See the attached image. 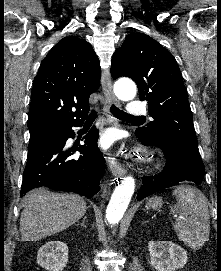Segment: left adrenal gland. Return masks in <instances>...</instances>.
<instances>
[{
	"instance_id": "1",
	"label": "left adrenal gland",
	"mask_w": 221,
	"mask_h": 271,
	"mask_svg": "<svg viewBox=\"0 0 221 271\" xmlns=\"http://www.w3.org/2000/svg\"><path fill=\"white\" fill-rule=\"evenodd\" d=\"M142 223H146V221H142Z\"/></svg>"
}]
</instances>
